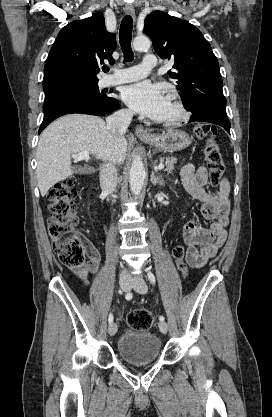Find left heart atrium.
I'll return each mask as SVG.
<instances>
[{"mask_svg":"<svg viewBox=\"0 0 272 417\" xmlns=\"http://www.w3.org/2000/svg\"><path fill=\"white\" fill-rule=\"evenodd\" d=\"M122 99L135 112L156 120L162 115L168 100L163 87L149 81L127 86L122 92Z\"/></svg>","mask_w":272,"mask_h":417,"instance_id":"1","label":"left heart atrium"}]
</instances>
